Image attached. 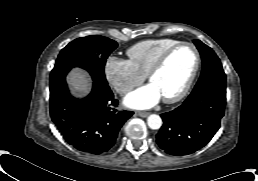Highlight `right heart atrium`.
Listing matches in <instances>:
<instances>
[{"mask_svg": "<svg viewBox=\"0 0 258 181\" xmlns=\"http://www.w3.org/2000/svg\"><path fill=\"white\" fill-rule=\"evenodd\" d=\"M104 72L108 83L121 95H126L145 79L128 60L113 56L106 60Z\"/></svg>", "mask_w": 258, "mask_h": 181, "instance_id": "1", "label": "right heart atrium"}]
</instances>
